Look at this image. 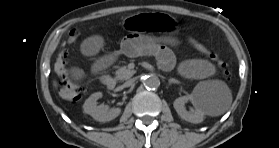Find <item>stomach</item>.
I'll return each instance as SVG.
<instances>
[{
  "mask_svg": "<svg viewBox=\"0 0 279 148\" xmlns=\"http://www.w3.org/2000/svg\"><path fill=\"white\" fill-rule=\"evenodd\" d=\"M128 30L137 36L148 34L168 37L181 27L180 19L175 15L151 14L136 12L131 14L125 22Z\"/></svg>",
  "mask_w": 279,
  "mask_h": 148,
  "instance_id": "0dacf381",
  "label": "stomach"
}]
</instances>
